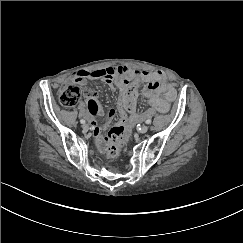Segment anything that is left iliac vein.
Instances as JSON below:
<instances>
[{
    "label": "left iliac vein",
    "mask_w": 243,
    "mask_h": 243,
    "mask_svg": "<svg viewBox=\"0 0 243 243\" xmlns=\"http://www.w3.org/2000/svg\"><path fill=\"white\" fill-rule=\"evenodd\" d=\"M149 127L147 125H143L141 128H140V133L144 134L148 131Z\"/></svg>",
    "instance_id": "1"
}]
</instances>
